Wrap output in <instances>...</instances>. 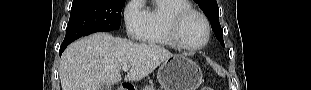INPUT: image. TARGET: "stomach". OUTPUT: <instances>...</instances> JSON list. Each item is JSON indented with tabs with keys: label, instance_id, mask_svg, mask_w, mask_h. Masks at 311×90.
I'll use <instances>...</instances> for the list:
<instances>
[{
	"label": "stomach",
	"instance_id": "1",
	"mask_svg": "<svg viewBox=\"0 0 311 90\" xmlns=\"http://www.w3.org/2000/svg\"><path fill=\"white\" fill-rule=\"evenodd\" d=\"M157 78L162 90H196L202 84V72L198 65L179 54L162 63Z\"/></svg>",
	"mask_w": 311,
	"mask_h": 90
}]
</instances>
